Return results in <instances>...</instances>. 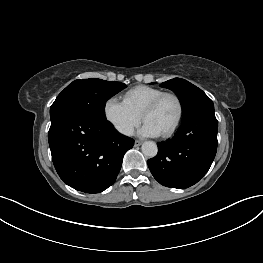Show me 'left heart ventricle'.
Returning <instances> with one entry per match:
<instances>
[{
  "label": "left heart ventricle",
  "instance_id": "1",
  "mask_svg": "<svg viewBox=\"0 0 263 263\" xmlns=\"http://www.w3.org/2000/svg\"><path fill=\"white\" fill-rule=\"evenodd\" d=\"M178 115V105L174 98H165L153 111L145 115L144 121L154 125L162 134L169 130Z\"/></svg>",
  "mask_w": 263,
  "mask_h": 263
}]
</instances>
